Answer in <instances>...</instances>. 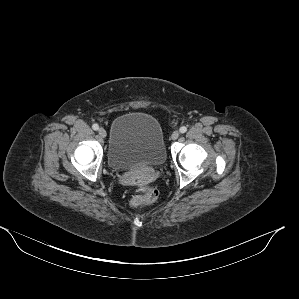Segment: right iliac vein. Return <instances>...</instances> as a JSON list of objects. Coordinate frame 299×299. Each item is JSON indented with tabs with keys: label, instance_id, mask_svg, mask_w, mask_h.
<instances>
[{
	"label": "right iliac vein",
	"instance_id": "63e3f726",
	"mask_svg": "<svg viewBox=\"0 0 299 299\" xmlns=\"http://www.w3.org/2000/svg\"><path fill=\"white\" fill-rule=\"evenodd\" d=\"M98 133L102 138H105L107 135L106 130L104 128H100Z\"/></svg>",
	"mask_w": 299,
	"mask_h": 299
}]
</instances>
